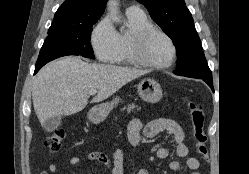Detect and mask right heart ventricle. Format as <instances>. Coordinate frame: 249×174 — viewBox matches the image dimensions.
Returning a JSON list of instances; mask_svg holds the SVG:
<instances>
[{"label": "right heart ventricle", "instance_id": "1", "mask_svg": "<svg viewBox=\"0 0 249 174\" xmlns=\"http://www.w3.org/2000/svg\"><path fill=\"white\" fill-rule=\"evenodd\" d=\"M126 20L128 24V31L118 33L120 49L117 57L112 62L117 65H132L135 63L129 52L130 39L137 31L145 27L152 26L151 22L144 13L134 14L126 12Z\"/></svg>", "mask_w": 249, "mask_h": 174}]
</instances>
